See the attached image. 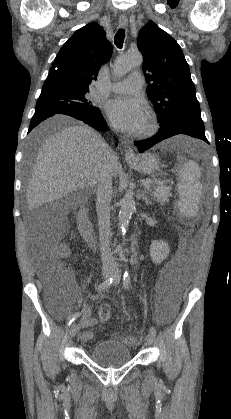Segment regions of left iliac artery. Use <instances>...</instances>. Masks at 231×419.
<instances>
[{"label":"left iliac artery","instance_id":"obj_1","mask_svg":"<svg viewBox=\"0 0 231 419\" xmlns=\"http://www.w3.org/2000/svg\"><path fill=\"white\" fill-rule=\"evenodd\" d=\"M130 275L128 273V271H125L124 276H123V286L124 288L127 290L130 286ZM150 333L155 337L156 336V330L155 328L152 326L150 327Z\"/></svg>","mask_w":231,"mask_h":419}]
</instances>
